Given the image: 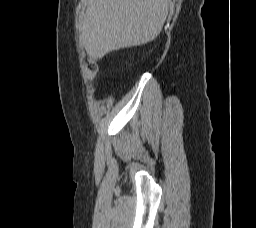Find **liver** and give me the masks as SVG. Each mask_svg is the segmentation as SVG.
<instances>
[{"label":"liver","mask_w":256,"mask_h":228,"mask_svg":"<svg viewBox=\"0 0 256 228\" xmlns=\"http://www.w3.org/2000/svg\"><path fill=\"white\" fill-rule=\"evenodd\" d=\"M81 41L96 60L153 41L165 23L169 0H86Z\"/></svg>","instance_id":"liver-1"}]
</instances>
